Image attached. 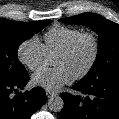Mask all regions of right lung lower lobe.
Wrapping results in <instances>:
<instances>
[{"label": "right lung lower lobe", "instance_id": "obj_1", "mask_svg": "<svg viewBox=\"0 0 119 119\" xmlns=\"http://www.w3.org/2000/svg\"><path fill=\"white\" fill-rule=\"evenodd\" d=\"M28 80L29 75L26 73L19 79L0 81V119H30L46 102L47 97L41 87L18 92Z\"/></svg>", "mask_w": 119, "mask_h": 119}]
</instances>
